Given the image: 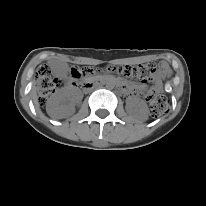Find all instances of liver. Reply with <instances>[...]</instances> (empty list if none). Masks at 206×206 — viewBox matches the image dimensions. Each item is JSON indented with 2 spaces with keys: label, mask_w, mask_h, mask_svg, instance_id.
I'll return each instance as SVG.
<instances>
[{
  "label": "liver",
  "mask_w": 206,
  "mask_h": 206,
  "mask_svg": "<svg viewBox=\"0 0 206 206\" xmlns=\"http://www.w3.org/2000/svg\"><path fill=\"white\" fill-rule=\"evenodd\" d=\"M31 97L33 99L35 108L39 110L38 97H37L36 89L34 87L31 90ZM47 112L54 119H63L69 116L66 112H50L49 110H47Z\"/></svg>",
  "instance_id": "liver-1"
}]
</instances>
